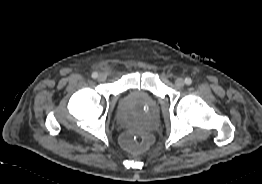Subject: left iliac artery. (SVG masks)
Instances as JSON below:
<instances>
[{
  "label": "left iliac artery",
  "instance_id": "44dca946",
  "mask_svg": "<svg viewBox=\"0 0 262 184\" xmlns=\"http://www.w3.org/2000/svg\"><path fill=\"white\" fill-rule=\"evenodd\" d=\"M185 83H186L187 85H190V84L192 83L191 78H186V79H185Z\"/></svg>",
  "mask_w": 262,
  "mask_h": 184
}]
</instances>
